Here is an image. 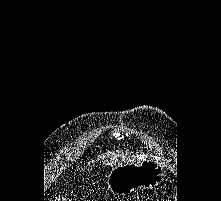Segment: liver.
<instances>
[{
  "mask_svg": "<svg viewBox=\"0 0 221 201\" xmlns=\"http://www.w3.org/2000/svg\"><path fill=\"white\" fill-rule=\"evenodd\" d=\"M146 159L145 155L141 153H124L123 151L108 152L98 156V160H101L105 165H120L129 162H135Z\"/></svg>",
  "mask_w": 221,
  "mask_h": 201,
  "instance_id": "1",
  "label": "liver"
}]
</instances>
